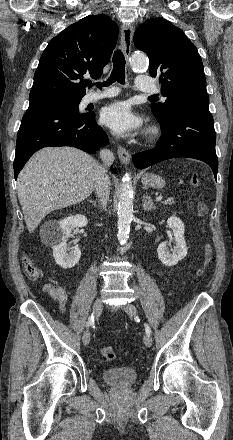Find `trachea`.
<instances>
[{
  "instance_id": "3493384b",
  "label": "trachea",
  "mask_w": 233,
  "mask_h": 440,
  "mask_svg": "<svg viewBox=\"0 0 233 440\" xmlns=\"http://www.w3.org/2000/svg\"><path fill=\"white\" fill-rule=\"evenodd\" d=\"M125 57L123 53L120 50H116L113 55V70L111 72V75L107 81H104L101 83V86H109L111 83L117 81L121 84L125 83ZM87 85L89 87L93 86V83L91 81L87 82ZM97 87H99V84H96ZM152 98H155L156 96H150Z\"/></svg>"
}]
</instances>
